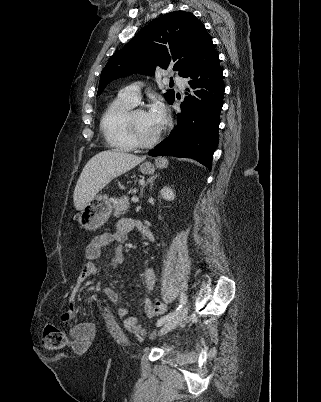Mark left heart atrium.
Segmentation results:
<instances>
[{"label": "left heart atrium", "instance_id": "39dd6f15", "mask_svg": "<svg viewBox=\"0 0 321 402\" xmlns=\"http://www.w3.org/2000/svg\"><path fill=\"white\" fill-rule=\"evenodd\" d=\"M147 115L154 123L162 125L166 118L165 108L161 103H154Z\"/></svg>", "mask_w": 321, "mask_h": 402}]
</instances>
